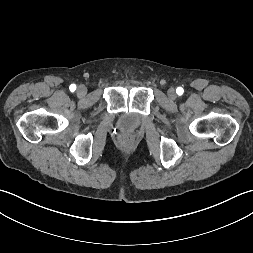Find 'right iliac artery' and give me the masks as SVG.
<instances>
[{
    "label": "right iliac artery",
    "instance_id": "right-iliac-artery-1",
    "mask_svg": "<svg viewBox=\"0 0 253 253\" xmlns=\"http://www.w3.org/2000/svg\"><path fill=\"white\" fill-rule=\"evenodd\" d=\"M69 88H70L71 92H74L76 90V85L75 84H71Z\"/></svg>",
    "mask_w": 253,
    "mask_h": 253
}]
</instances>
